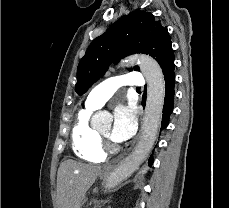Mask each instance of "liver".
Wrapping results in <instances>:
<instances>
[{
	"mask_svg": "<svg viewBox=\"0 0 229 208\" xmlns=\"http://www.w3.org/2000/svg\"><path fill=\"white\" fill-rule=\"evenodd\" d=\"M101 166H88L75 160H65L57 174V200L59 208H80L90 186L100 176Z\"/></svg>",
	"mask_w": 229,
	"mask_h": 208,
	"instance_id": "obj_1",
	"label": "liver"
}]
</instances>
